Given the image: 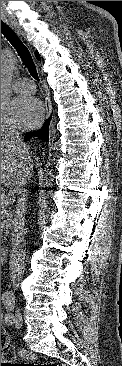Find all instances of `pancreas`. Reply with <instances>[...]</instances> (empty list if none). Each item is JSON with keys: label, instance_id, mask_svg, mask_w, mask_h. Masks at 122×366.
<instances>
[{"label": "pancreas", "instance_id": "obj_1", "mask_svg": "<svg viewBox=\"0 0 122 366\" xmlns=\"http://www.w3.org/2000/svg\"><path fill=\"white\" fill-rule=\"evenodd\" d=\"M1 195L5 196L4 200H1V241L6 239L7 234L9 233V222H8V207L10 205V199L8 195L1 192Z\"/></svg>", "mask_w": 122, "mask_h": 366}]
</instances>
